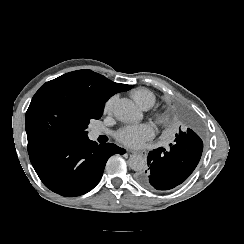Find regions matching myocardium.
<instances>
[{"label": "myocardium", "instance_id": "1", "mask_svg": "<svg viewBox=\"0 0 244 244\" xmlns=\"http://www.w3.org/2000/svg\"><path fill=\"white\" fill-rule=\"evenodd\" d=\"M156 121L158 123H162L164 121V118L163 117H160V116H156Z\"/></svg>", "mask_w": 244, "mask_h": 244}]
</instances>
